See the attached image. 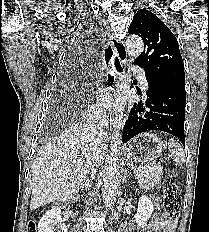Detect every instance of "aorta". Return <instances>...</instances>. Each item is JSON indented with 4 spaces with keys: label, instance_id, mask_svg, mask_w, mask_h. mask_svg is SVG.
<instances>
[{
    "label": "aorta",
    "instance_id": "1",
    "mask_svg": "<svg viewBox=\"0 0 209 232\" xmlns=\"http://www.w3.org/2000/svg\"><path fill=\"white\" fill-rule=\"evenodd\" d=\"M126 47L131 62L137 58L144 49V43L140 37H128L126 39ZM131 75L125 73L122 75L117 85V96L115 98L114 111L115 117L113 121V136L110 143V152L107 156L103 171V203L106 208H110L115 199L119 188V179L122 170L121 161V140L122 129L124 125V111L127 103L128 92L130 90Z\"/></svg>",
    "mask_w": 209,
    "mask_h": 232
}]
</instances>
